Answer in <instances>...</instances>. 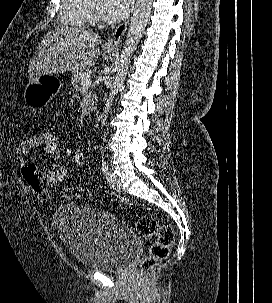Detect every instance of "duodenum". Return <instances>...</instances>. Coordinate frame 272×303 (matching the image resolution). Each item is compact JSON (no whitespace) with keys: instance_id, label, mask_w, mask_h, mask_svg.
Returning a JSON list of instances; mask_svg holds the SVG:
<instances>
[{"instance_id":"1","label":"duodenum","mask_w":272,"mask_h":303,"mask_svg":"<svg viewBox=\"0 0 272 303\" xmlns=\"http://www.w3.org/2000/svg\"><path fill=\"white\" fill-rule=\"evenodd\" d=\"M96 105H97V101H92L88 106L87 108L85 109V114H89L91 113L92 111L95 110L96 108Z\"/></svg>"}]
</instances>
